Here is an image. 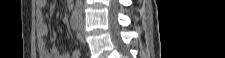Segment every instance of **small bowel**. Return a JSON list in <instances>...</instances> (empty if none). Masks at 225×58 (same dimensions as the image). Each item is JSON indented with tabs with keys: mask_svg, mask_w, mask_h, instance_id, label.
<instances>
[{
	"mask_svg": "<svg viewBox=\"0 0 225 58\" xmlns=\"http://www.w3.org/2000/svg\"><path fill=\"white\" fill-rule=\"evenodd\" d=\"M46 4L47 0H36V5L39 9L44 8ZM48 31V25L41 12H39L37 14L38 51L42 58H80L79 50L74 49L71 54L62 53L55 44L48 51L43 40V38L48 34ZM52 37L55 38L56 34L52 33Z\"/></svg>",
	"mask_w": 225,
	"mask_h": 58,
	"instance_id": "obj_1",
	"label": "small bowel"
}]
</instances>
